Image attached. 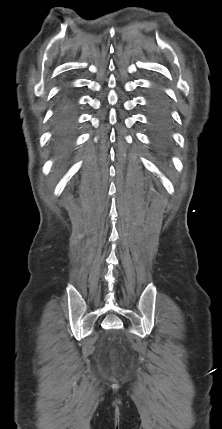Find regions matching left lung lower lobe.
<instances>
[{
	"label": "left lung lower lobe",
	"instance_id": "1",
	"mask_svg": "<svg viewBox=\"0 0 222 429\" xmlns=\"http://www.w3.org/2000/svg\"><path fill=\"white\" fill-rule=\"evenodd\" d=\"M149 122L154 139L164 143L171 133L170 107L166 95L159 89H152L149 95Z\"/></svg>",
	"mask_w": 222,
	"mask_h": 429
}]
</instances>
